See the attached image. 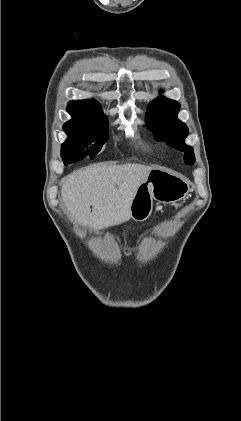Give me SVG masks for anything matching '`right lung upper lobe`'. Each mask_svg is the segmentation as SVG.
I'll return each mask as SVG.
<instances>
[{
    "instance_id": "obj_1",
    "label": "right lung upper lobe",
    "mask_w": 241,
    "mask_h": 421,
    "mask_svg": "<svg viewBox=\"0 0 241 421\" xmlns=\"http://www.w3.org/2000/svg\"><path fill=\"white\" fill-rule=\"evenodd\" d=\"M67 111L72 120L68 124H91L106 116L101 111L99 104L92 100H74L68 104Z\"/></svg>"
}]
</instances>
